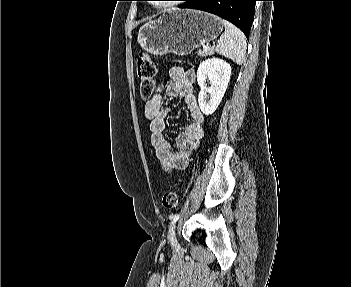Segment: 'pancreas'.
<instances>
[{
	"instance_id": "cf45deb5",
	"label": "pancreas",
	"mask_w": 351,
	"mask_h": 287,
	"mask_svg": "<svg viewBox=\"0 0 351 287\" xmlns=\"http://www.w3.org/2000/svg\"><path fill=\"white\" fill-rule=\"evenodd\" d=\"M213 53V49H203V50H198L197 51V55L201 56V57H206L208 55H211Z\"/></svg>"
}]
</instances>
